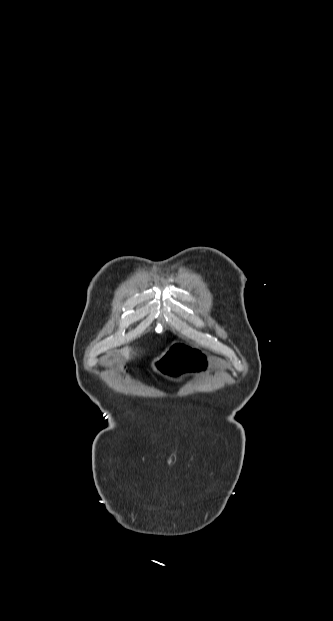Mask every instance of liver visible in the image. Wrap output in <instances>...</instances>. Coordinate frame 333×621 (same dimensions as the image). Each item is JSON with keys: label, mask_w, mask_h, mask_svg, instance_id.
<instances>
[{"label": "liver", "mask_w": 333, "mask_h": 621, "mask_svg": "<svg viewBox=\"0 0 333 621\" xmlns=\"http://www.w3.org/2000/svg\"><path fill=\"white\" fill-rule=\"evenodd\" d=\"M123 355H124V357L128 360V359L130 358V348L125 347V348L123 349Z\"/></svg>", "instance_id": "obj_1"}]
</instances>
